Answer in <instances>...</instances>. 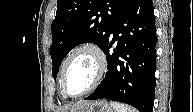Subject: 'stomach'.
<instances>
[{
  "label": "stomach",
  "mask_w": 193,
  "mask_h": 112,
  "mask_svg": "<svg viewBox=\"0 0 193 112\" xmlns=\"http://www.w3.org/2000/svg\"><path fill=\"white\" fill-rule=\"evenodd\" d=\"M77 112H113V109L109 106L107 101L99 100L91 102L88 106Z\"/></svg>",
  "instance_id": "1"
}]
</instances>
